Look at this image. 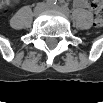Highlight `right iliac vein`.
Here are the masks:
<instances>
[{
    "mask_svg": "<svg viewBox=\"0 0 103 103\" xmlns=\"http://www.w3.org/2000/svg\"><path fill=\"white\" fill-rule=\"evenodd\" d=\"M46 9V5L44 3L38 4L34 9V15L37 16L41 14Z\"/></svg>",
    "mask_w": 103,
    "mask_h": 103,
    "instance_id": "obj_1",
    "label": "right iliac vein"
}]
</instances>
